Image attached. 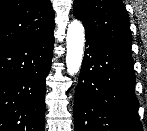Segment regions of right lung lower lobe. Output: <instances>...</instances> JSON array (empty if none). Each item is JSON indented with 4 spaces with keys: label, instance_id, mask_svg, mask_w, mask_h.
<instances>
[{
    "label": "right lung lower lobe",
    "instance_id": "1",
    "mask_svg": "<svg viewBox=\"0 0 147 131\" xmlns=\"http://www.w3.org/2000/svg\"><path fill=\"white\" fill-rule=\"evenodd\" d=\"M53 32L0 52V131H44Z\"/></svg>",
    "mask_w": 147,
    "mask_h": 131
}]
</instances>
